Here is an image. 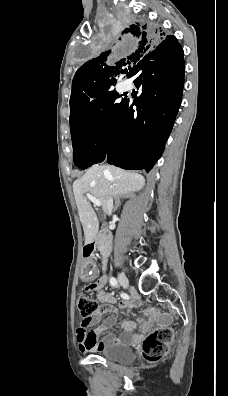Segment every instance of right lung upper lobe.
Wrapping results in <instances>:
<instances>
[{"label": "right lung upper lobe", "mask_w": 228, "mask_h": 396, "mask_svg": "<svg viewBox=\"0 0 228 396\" xmlns=\"http://www.w3.org/2000/svg\"><path fill=\"white\" fill-rule=\"evenodd\" d=\"M146 26H133L130 32L136 36L137 49L127 58L115 63V66H107L105 61L110 51L102 53L97 58L85 62L75 73L72 81V92L70 97V119L82 113L103 93L108 91L116 80L113 75L123 73V67L129 66L127 77H131L142 59L150 56L157 48L158 41L165 35L161 30L150 32ZM179 44L174 36H167L158 46L159 49L173 47Z\"/></svg>", "instance_id": "right-lung-upper-lobe-1"}]
</instances>
